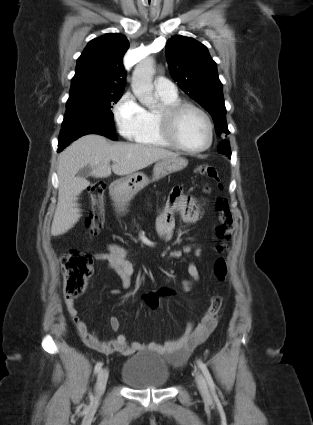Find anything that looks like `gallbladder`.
Segmentation results:
<instances>
[{"instance_id": "obj_1", "label": "gallbladder", "mask_w": 313, "mask_h": 425, "mask_svg": "<svg viewBox=\"0 0 313 425\" xmlns=\"http://www.w3.org/2000/svg\"><path fill=\"white\" fill-rule=\"evenodd\" d=\"M90 174H91V168L89 166H85L78 172V175L80 178H87L90 176Z\"/></svg>"}]
</instances>
